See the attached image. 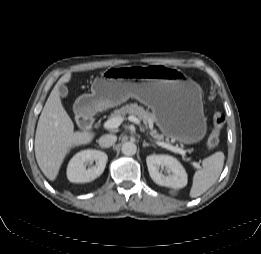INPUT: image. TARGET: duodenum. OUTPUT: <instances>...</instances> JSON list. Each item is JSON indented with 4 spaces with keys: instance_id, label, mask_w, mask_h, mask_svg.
Here are the masks:
<instances>
[{
    "instance_id": "duodenum-1",
    "label": "duodenum",
    "mask_w": 261,
    "mask_h": 254,
    "mask_svg": "<svg viewBox=\"0 0 261 254\" xmlns=\"http://www.w3.org/2000/svg\"><path fill=\"white\" fill-rule=\"evenodd\" d=\"M94 121H95L94 114L85 113L80 119V124L84 128H88Z\"/></svg>"
}]
</instances>
